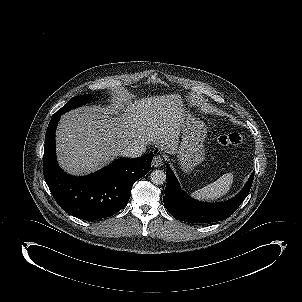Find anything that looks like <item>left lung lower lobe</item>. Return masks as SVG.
I'll list each match as a JSON object with an SVG mask.
<instances>
[{"mask_svg":"<svg viewBox=\"0 0 302 302\" xmlns=\"http://www.w3.org/2000/svg\"><path fill=\"white\" fill-rule=\"evenodd\" d=\"M254 178L251 174L242 191L234 198L218 204L203 203L189 197L180 187L174 173L169 167L166 170L167 184L164 205L171 215L177 219L192 223H209L227 219L240 206L248 195Z\"/></svg>","mask_w":302,"mask_h":302,"instance_id":"obj_1","label":"left lung lower lobe"}]
</instances>
